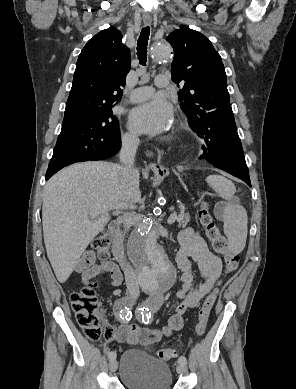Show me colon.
Instances as JSON below:
<instances>
[{
	"mask_svg": "<svg viewBox=\"0 0 296 389\" xmlns=\"http://www.w3.org/2000/svg\"><path fill=\"white\" fill-rule=\"evenodd\" d=\"M198 219L204 227L207 238L210 240L215 252L223 255L225 271L234 272L239 266V256L228 248L226 238L219 232L213 222L209 207L203 203L198 210ZM92 247L97 253L98 259L105 263L109 259L111 250V237L104 231L98 234ZM217 290L211 292L204 300L198 314L196 334L201 336L205 333L211 309L216 299ZM71 307L75 313L79 326L83 329L86 337L91 341H99L102 338L110 339L113 336V329L105 326V318L95 292V284L87 283L83 287L74 290L70 294ZM157 356L164 361L177 357V352L171 348H164L157 351Z\"/></svg>",
	"mask_w": 296,
	"mask_h": 389,
	"instance_id": "1",
	"label": "colon"
}]
</instances>
